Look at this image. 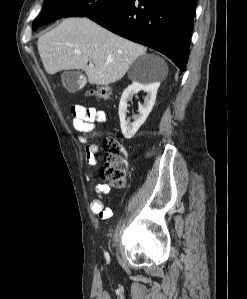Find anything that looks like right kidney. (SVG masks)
Here are the masks:
<instances>
[{
  "label": "right kidney",
  "instance_id": "obj_1",
  "mask_svg": "<svg viewBox=\"0 0 247 299\" xmlns=\"http://www.w3.org/2000/svg\"><path fill=\"white\" fill-rule=\"evenodd\" d=\"M158 87V83L133 82L124 90L119 103V118L121 131L126 139H131L146 121L155 104ZM140 90L146 91L147 96L144 98V104H139V115H136L134 121L130 122L126 118L127 101L131 100L133 95L137 94Z\"/></svg>",
  "mask_w": 247,
  "mask_h": 299
}]
</instances>
